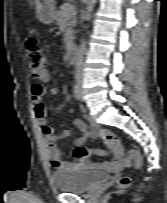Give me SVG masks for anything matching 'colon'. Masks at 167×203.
Wrapping results in <instances>:
<instances>
[{
  "instance_id": "5ec220e1",
  "label": "colon",
  "mask_w": 167,
  "mask_h": 203,
  "mask_svg": "<svg viewBox=\"0 0 167 203\" xmlns=\"http://www.w3.org/2000/svg\"><path fill=\"white\" fill-rule=\"evenodd\" d=\"M26 51L32 74H38L44 71L48 64V58L43 48L39 45L37 39L32 34H30L26 40ZM90 154L91 151L85 147L80 146L74 150V157L77 160H81L89 156ZM117 157L119 158L121 163L127 166L134 165L136 167H139L142 163V157L136 150H131L128 153H124L122 150L121 153L117 152ZM130 183V177L123 176L118 183V187L126 188L130 185Z\"/></svg>"
}]
</instances>
